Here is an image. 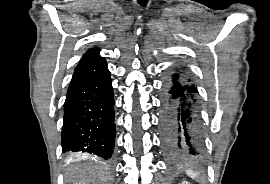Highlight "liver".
I'll list each match as a JSON object with an SVG mask.
<instances>
[{"label": "liver", "instance_id": "obj_1", "mask_svg": "<svg viewBox=\"0 0 270 184\" xmlns=\"http://www.w3.org/2000/svg\"><path fill=\"white\" fill-rule=\"evenodd\" d=\"M108 171L104 165L83 166L66 174V184H107Z\"/></svg>", "mask_w": 270, "mask_h": 184}]
</instances>
